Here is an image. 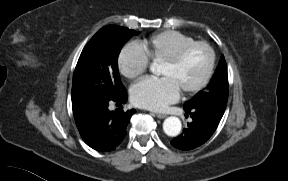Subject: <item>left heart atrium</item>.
Here are the masks:
<instances>
[{"label": "left heart atrium", "mask_w": 288, "mask_h": 181, "mask_svg": "<svg viewBox=\"0 0 288 181\" xmlns=\"http://www.w3.org/2000/svg\"><path fill=\"white\" fill-rule=\"evenodd\" d=\"M179 89L167 77L144 78L131 88L135 105L154 111L163 110L179 97Z\"/></svg>", "instance_id": "obj_1"}]
</instances>
